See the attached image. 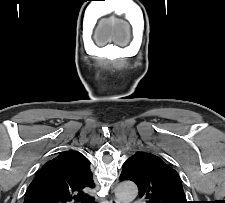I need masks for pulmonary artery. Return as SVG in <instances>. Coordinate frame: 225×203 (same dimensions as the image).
<instances>
[{
    "label": "pulmonary artery",
    "instance_id": "obj_1",
    "mask_svg": "<svg viewBox=\"0 0 225 203\" xmlns=\"http://www.w3.org/2000/svg\"><path fill=\"white\" fill-rule=\"evenodd\" d=\"M134 203H144V202L141 201V200H137V201H135Z\"/></svg>",
    "mask_w": 225,
    "mask_h": 203
}]
</instances>
